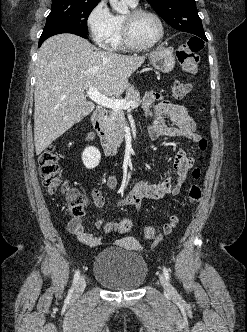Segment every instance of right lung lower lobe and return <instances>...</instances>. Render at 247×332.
Returning <instances> with one entry per match:
<instances>
[{"label":"right lung lower lobe","instance_id":"98d812e1","mask_svg":"<svg viewBox=\"0 0 247 332\" xmlns=\"http://www.w3.org/2000/svg\"><path fill=\"white\" fill-rule=\"evenodd\" d=\"M60 33H72L76 34L78 36L87 37V34L85 31L76 29L74 26L68 25V24H51L46 25L43 29L42 35L39 39V46L49 37L60 34Z\"/></svg>","mask_w":247,"mask_h":332}]
</instances>
